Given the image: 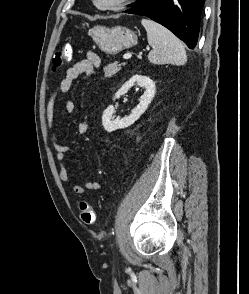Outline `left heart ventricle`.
Instances as JSON below:
<instances>
[{"instance_id": "left-heart-ventricle-1", "label": "left heart ventricle", "mask_w": 249, "mask_h": 294, "mask_svg": "<svg viewBox=\"0 0 249 294\" xmlns=\"http://www.w3.org/2000/svg\"><path fill=\"white\" fill-rule=\"evenodd\" d=\"M99 3L101 4H105V5H110V4H115L117 3L119 0H98Z\"/></svg>"}]
</instances>
